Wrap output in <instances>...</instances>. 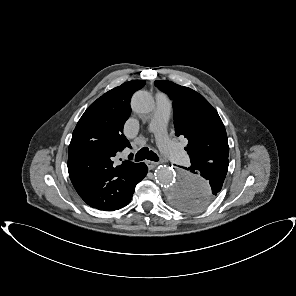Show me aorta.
Wrapping results in <instances>:
<instances>
[{"label":"aorta","mask_w":296,"mask_h":296,"mask_svg":"<svg viewBox=\"0 0 296 296\" xmlns=\"http://www.w3.org/2000/svg\"><path fill=\"white\" fill-rule=\"evenodd\" d=\"M131 106L139 114H149L154 110L155 102L150 93L138 91L132 97ZM155 178L168 200L188 212H201L213 200L214 191L210 181L199 173L164 165L156 169Z\"/></svg>","instance_id":"762f6f07"}]
</instances>
